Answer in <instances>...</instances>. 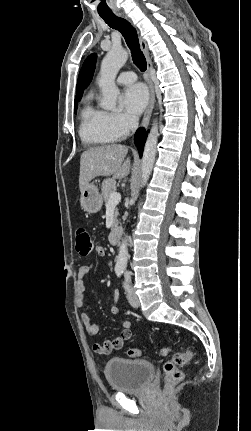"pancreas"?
Listing matches in <instances>:
<instances>
[{
  "label": "pancreas",
  "mask_w": 251,
  "mask_h": 431,
  "mask_svg": "<svg viewBox=\"0 0 251 431\" xmlns=\"http://www.w3.org/2000/svg\"><path fill=\"white\" fill-rule=\"evenodd\" d=\"M116 182L114 179H105L102 183V196L104 198L105 204L108 205L109 204V197L112 193L116 192ZM117 216H118V209H115L114 212V221H113V227L115 228L118 225V221H117Z\"/></svg>",
  "instance_id": "cf45deb5"
}]
</instances>
